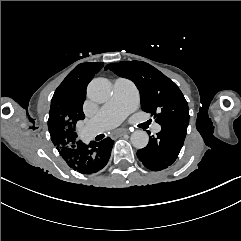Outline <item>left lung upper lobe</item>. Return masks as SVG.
I'll return each mask as SVG.
<instances>
[{"instance_id":"left-lung-upper-lobe-1","label":"left lung upper lobe","mask_w":241,"mask_h":241,"mask_svg":"<svg viewBox=\"0 0 241 241\" xmlns=\"http://www.w3.org/2000/svg\"><path fill=\"white\" fill-rule=\"evenodd\" d=\"M132 80L140 92L141 108L151 113L160 125L189 123V108L178 86L163 73L142 61H122L105 67Z\"/></svg>"}]
</instances>
